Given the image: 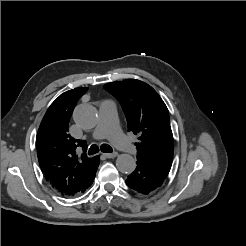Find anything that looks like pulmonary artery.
<instances>
[{
	"mask_svg": "<svg viewBox=\"0 0 246 246\" xmlns=\"http://www.w3.org/2000/svg\"><path fill=\"white\" fill-rule=\"evenodd\" d=\"M94 139L108 138L119 149L135 156L136 147L122 133L117 121L116 104L112 100H104L99 107V120L93 131Z\"/></svg>",
	"mask_w": 246,
	"mask_h": 246,
	"instance_id": "pulmonary-artery-1",
	"label": "pulmonary artery"
}]
</instances>
